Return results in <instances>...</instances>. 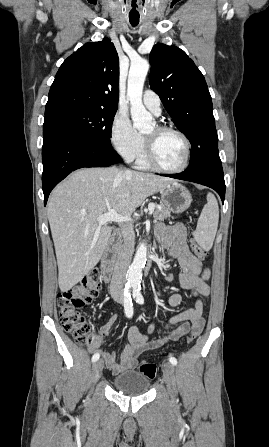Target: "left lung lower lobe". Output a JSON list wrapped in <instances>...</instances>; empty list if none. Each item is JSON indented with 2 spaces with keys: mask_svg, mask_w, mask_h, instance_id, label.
I'll return each instance as SVG.
<instances>
[{
  "mask_svg": "<svg viewBox=\"0 0 269 447\" xmlns=\"http://www.w3.org/2000/svg\"><path fill=\"white\" fill-rule=\"evenodd\" d=\"M175 179L191 181L208 186L214 189L221 197L222 202L225 198V182L222 166H214L202 170L197 173H186L185 171L178 174L162 175Z\"/></svg>",
  "mask_w": 269,
  "mask_h": 447,
  "instance_id": "0a47b994",
  "label": "left lung lower lobe"
}]
</instances>
